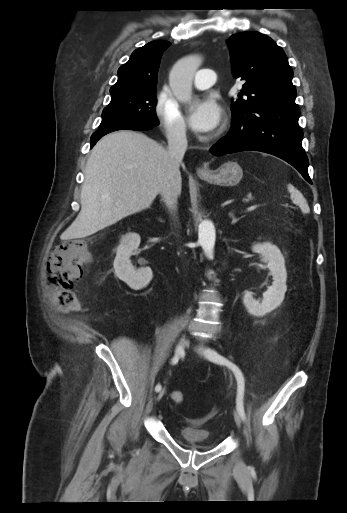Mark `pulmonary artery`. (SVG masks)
Masks as SVG:
<instances>
[{"mask_svg": "<svg viewBox=\"0 0 347 513\" xmlns=\"http://www.w3.org/2000/svg\"><path fill=\"white\" fill-rule=\"evenodd\" d=\"M217 79V74L212 69H200L197 71L194 79V86L203 90L212 86Z\"/></svg>", "mask_w": 347, "mask_h": 513, "instance_id": "1", "label": "pulmonary artery"}]
</instances>
